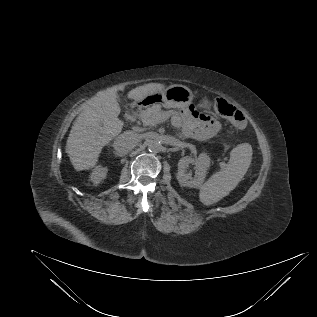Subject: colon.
<instances>
[{"label":"colon","instance_id":"colon-1","mask_svg":"<svg viewBox=\"0 0 317 317\" xmlns=\"http://www.w3.org/2000/svg\"><path fill=\"white\" fill-rule=\"evenodd\" d=\"M214 110L218 115L229 119L237 128H244L246 126L243 114L226 100L216 99Z\"/></svg>","mask_w":317,"mask_h":317}]
</instances>
